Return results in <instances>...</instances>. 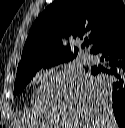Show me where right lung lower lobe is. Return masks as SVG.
Instances as JSON below:
<instances>
[{
    "label": "right lung lower lobe",
    "mask_w": 125,
    "mask_h": 128,
    "mask_svg": "<svg viewBox=\"0 0 125 128\" xmlns=\"http://www.w3.org/2000/svg\"><path fill=\"white\" fill-rule=\"evenodd\" d=\"M99 54L101 65L92 66L88 71L106 76L105 86L112 94V110L118 126L125 128V26L99 43L91 50Z\"/></svg>",
    "instance_id": "98d812e1"
}]
</instances>
